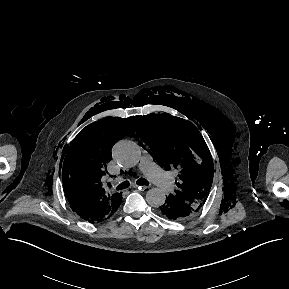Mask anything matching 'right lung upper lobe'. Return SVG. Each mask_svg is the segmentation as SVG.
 Instances as JSON below:
<instances>
[{
  "label": "right lung upper lobe",
  "instance_id": "1",
  "mask_svg": "<svg viewBox=\"0 0 289 289\" xmlns=\"http://www.w3.org/2000/svg\"><path fill=\"white\" fill-rule=\"evenodd\" d=\"M129 119L109 118L90 125L67 149L62 171L65 195L72 210L91 223L106 219L121 203V193H106L101 178L112 159V146L132 128Z\"/></svg>",
  "mask_w": 289,
  "mask_h": 289
}]
</instances>
